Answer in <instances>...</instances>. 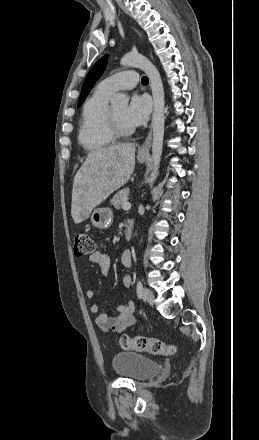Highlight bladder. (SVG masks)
Listing matches in <instances>:
<instances>
[{
	"label": "bladder",
	"mask_w": 259,
	"mask_h": 440,
	"mask_svg": "<svg viewBox=\"0 0 259 440\" xmlns=\"http://www.w3.org/2000/svg\"><path fill=\"white\" fill-rule=\"evenodd\" d=\"M112 366L117 375L134 381L152 378L161 369L157 361L134 351L117 353L112 359Z\"/></svg>",
	"instance_id": "1"
}]
</instances>
